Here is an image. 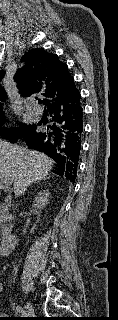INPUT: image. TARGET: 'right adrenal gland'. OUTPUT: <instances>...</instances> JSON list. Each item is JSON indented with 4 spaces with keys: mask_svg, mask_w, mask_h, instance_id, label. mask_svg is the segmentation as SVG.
Segmentation results:
<instances>
[{
    "mask_svg": "<svg viewBox=\"0 0 118 320\" xmlns=\"http://www.w3.org/2000/svg\"><path fill=\"white\" fill-rule=\"evenodd\" d=\"M46 178H42V179H40V180H38L37 182H35V183H39L41 180H45Z\"/></svg>",
    "mask_w": 118,
    "mask_h": 320,
    "instance_id": "obj_1",
    "label": "right adrenal gland"
}]
</instances>
